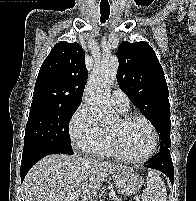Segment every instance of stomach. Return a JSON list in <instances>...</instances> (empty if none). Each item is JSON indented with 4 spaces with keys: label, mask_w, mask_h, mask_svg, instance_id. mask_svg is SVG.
Here are the masks:
<instances>
[{
    "label": "stomach",
    "mask_w": 196,
    "mask_h": 201,
    "mask_svg": "<svg viewBox=\"0 0 196 201\" xmlns=\"http://www.w3.org/2000/svg\"><path fill=\"white\" fill-rule=\"evenodd\" d=\"M113 177L118 191L124 195L135 194L143 184L142 178L132 169L117 171Z\"/></svg>",
    "instance_id": "stomach-1"
}]
</instances>
